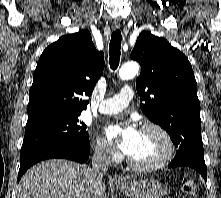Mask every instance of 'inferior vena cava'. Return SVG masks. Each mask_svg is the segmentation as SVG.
Instances as JSON below:
<instances>
[{
  "mask_svg": "<svg viewBox=\"0 0 221 198\" xmlns=\"http://www.w3.org/2000/svg\"><path fill=\"white\" fill-rule=\"evenodd\" d=\"M110 163L111 150L103 145L97 146L92 157V168L90 169L92 178L100 181L107 172Z\"/></svg>",
  "mask_w": 221,
  "mask_h": 198,
  "instance_id": "1",
  "label": "inferior vena cava"
}]
</instances>
